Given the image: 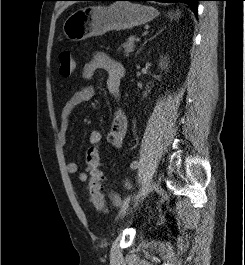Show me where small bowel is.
<instances>
[{"label":"small bowel","mask_w":245,"mask_h":265,"mask_svg":"<svg viewBox=\"0 0 245 265\" xmlns=\"http://www.w3.org/2000/svg\"><path fill=\"white\" fill-rule=\"evenodd\" d=\"M102 69L107 73V89L109 93L115 98H119L120 82L125 75L123 66L116 60L109 57L103 52L95 53L92 60L87 63L83 69V78L89 80L92 78L95 71ZM95 95V89L92 85H84L76 89L68 101L65 103L60 114V125L58 130V139L62 146L66 143V135L69 127L70 117L75 109L81 105L89 102ZM128 121L125 113L118 109L113 116L111 127L106 135V140L114 147H121L126 131ZM103 140V134L99 130L91 131L89 135V142L92 146H99ZM69 174L78 172V164L75 161H69L66 165ZM78 179L81 182L88 180V175L85 172L78 174ZM125 188L130 189L132 184L128 180L123 181ZM109 199L114 206L120 207L123 199L114 191L108 192Z\"/></svg>","instance_id":"small-bowel-1"}]
</instances>
